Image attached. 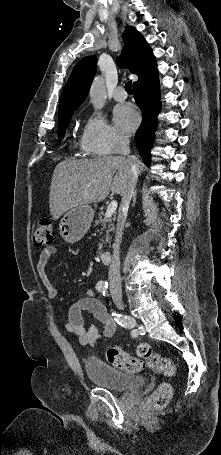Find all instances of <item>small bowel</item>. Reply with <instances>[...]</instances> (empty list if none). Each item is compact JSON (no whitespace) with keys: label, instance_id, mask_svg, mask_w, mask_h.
<instances>
[{"label":"small bowel","instance_id":"obj_1","mask_svg":"<svg viewBox=\"0 0 221 455\" xmlns=\"http://www.w3.org/2000/svg\"><path fill=\"white\" fill-rule=\"evenodd\" d=\"M56 248L49 246L44 248L38 257L35 270L38 278L47 291L49 298L58 297V290L53 286L46 268L50 259L55 255ZM87 311L103 325V331H100L98 324H92L87 329L84 325L82 313ZM64 329L68 333H74L80 344L89 347H95L100 342L112 337L117 329V324L109 314L106 306L95 297L94 291L88 289L85 296L75 302L68 311V318L64 324Z\"/></svg>","mask_w":221,"mask_h":455}]
</instances>
